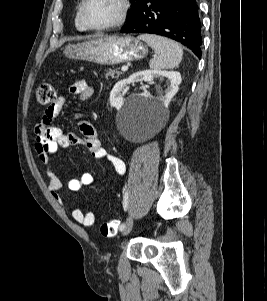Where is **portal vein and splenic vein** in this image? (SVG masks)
Instances as JSON below:
<instances>
[{"instance_id": "portal-vein-and-splenic-vein-1", "label": "portal vein and splenic vein", "mask_w": 267, "mask_h": 301, "mask_svg": "<svg viewBox=\"0 0 267 301\" xmlns=\"http://www.w3.org/2000/svg\"><path fill=\"white\" fill-rule=\"evenodd\" d=\"M128 70L127 66H122L121 71L126 72Z\"/></svg>"}]
</instances>
